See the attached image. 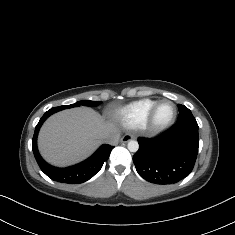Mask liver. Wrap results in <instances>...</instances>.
I'll list each match as a JSON object with an SVG mask.
<instances>
[{"label": "liver", "mask_w": 235, "mask_h": 235, "mask_svg": "<svg viewBox=\"0 0 235 235\" xmlns=\"http://www.w3.org/2000/svg\"><path fill=\"white\" fill-rule=\"evenodd\" d=\"M116 130L93 109L82 107L51 116L39 134V149L50 163L66 166L90 155L102 142V135Z\"/></svg>", "instance_id": "1"}]
</instances>
